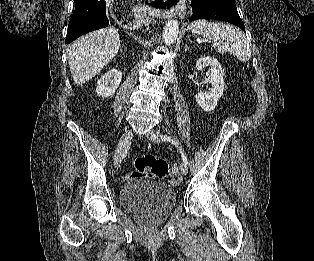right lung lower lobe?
Returning a JSON list of instances; mask_svg holds the SVG:
<instances>
[{"instance_id":"1","label":"right lung lower lobe","mask_w":314,"mask_h":261,"mask_svg":"<svg viewBox=\"0 0 314 261\" xmlns=\"http://www.w3.org/2000/svg\"><path fill=\"white\" fill-rule=\"evenodd\" d=\"M131 3L124 7L131 11ZM105 0H76L75 11L69 22L66 43H71L77 37L93 30L105 28L109 25L106 16Z\"/></svg>"}]
</instances>
